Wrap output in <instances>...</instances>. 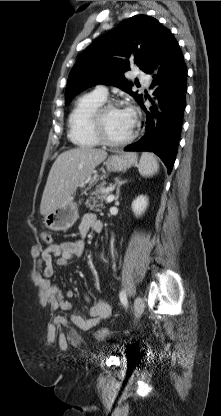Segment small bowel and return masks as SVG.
<instances>
[{"mask_svg": "<svg viewBox=\"0 0 221 416\" xmlns=\"http://www.w3.org/2000/svg\"><path fill=\"white\" fill-rule=\"evenodd\" d=\"M102 228V222L94 214L87 213L83 216L78 227L80 239L52 244L44 250L35 253V257L40 258L44 266L42 271H35L33 277L43 287V298L53 311H72L73 306L70 300L74 296L72 290H67L63 293L56 282L51 279L55 266L64 267L71 261L81 258L84 253L82 238L90 230L101 232ZM85 299L89 300L88 296ZM110 315L111 307L109 302L105 299H98L89 307L88 317H83L79 313L72 311L70 320H67L65 317H58L56 322L59 325L71 324L80 330L89 331Z\"/></svg>", "mask_w": 221, "mask_h": 416, "instance_id": "obj_1", "label": "small bowel"}]
</instances>
